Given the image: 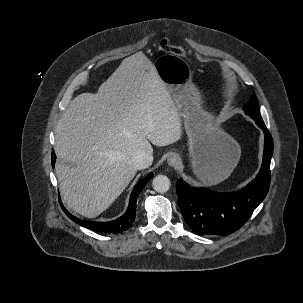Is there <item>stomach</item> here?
I'll return each mask as SVG.
<instances>
[{
    "label": "stomach",
    "instance_id": "stomach-1",
    "mask_svg": "<svg viewBox=\"0 0 303 303\" xmlns=\"http://www.w3.org/2000/svg\"><path fill=\"white\" fill-rule=\"evenodd\" d=\"M154 67L173 94L183 117L194 174L204 185L222 182L239 162V144L215 126L213 115L202 108L201 94L192 83V71L185 60L176 55H163Z\"/></svg>",
    "mask_w": 303,
    "mask_h": 303
}]
</instances>
